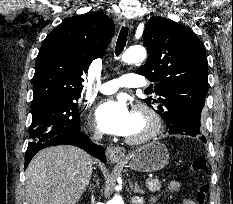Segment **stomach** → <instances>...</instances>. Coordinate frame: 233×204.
I'll list each match as a JSON object with an SVG mask.
<instances>
[{"label": "stomach", "instance_id": "obj_1", "mask_svg": "<svg viewBox=\"0 0 233 204\" xmlns=\"http://www.w3.org/2000/svg\"><path fill=\"white\" fill-rule=\"evenodd\" d=\"M169 160L166 146L158 141L149 142L132 152L124 163L135 171L156 172L163 169Z\"/></svg>", "mask_w": 233, "mask_h": 204}]
</instances>
